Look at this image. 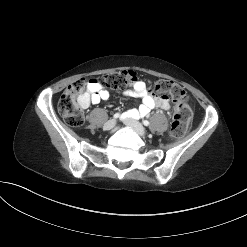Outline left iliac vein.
Wrapping results in <instances>:
<instances>
[{"mask_svg": "<svg viewBox=\"0 0 247 247\" xmlns=\"http://www.w3.org/2000/svg\"><path fill=\"white\" fill-rule=\"evenodd\" d=\"M123 121L127 126L133 129L134 132L138 134L139 136L144 137L146 135L145 128L138 121L132 118H125Z\"/></svg>", "mask_w": 247, "mask_h": 247, "instance_id": "4c4485c4", "label": "left iliac vein"}]
</instances>
